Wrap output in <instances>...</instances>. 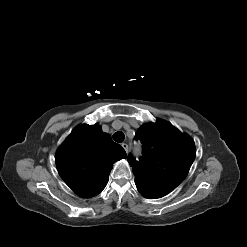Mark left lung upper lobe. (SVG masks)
<instances>
[{"label":"left lung upper lobe","mask_w":247,"mask_h":247,"mask_svg":"<svg viewBox=\"0 0 247 247\" xmlns=\"http://www.w3.org/2000/svg\"><path fill=\"white\" fill-rule=\"evenodd\" d=\"M135 139L143 144V156H129L128 162L138 191L151 199L167 195L189 172L196 156L193 139L161 119L138 128Z\"/></svg>","instance_id":"left-lung-upper-lobe-1"}]
</instances>
